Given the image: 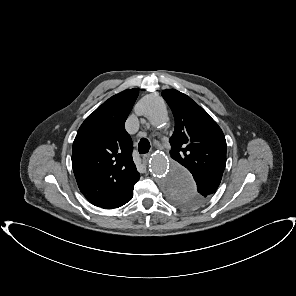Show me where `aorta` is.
Instances as JSON below:
<instances>
[{
  "instance_id": "762f6f07",
  "label": "aorta",
  "mask_w": 296,
  "mask_h": 296,
  "mask_svg": "<svg viewBox=\"0 0 296 296\" xmlns=\"http://www.w3.org/2000/svg\"><path fill=\"white\" fill-rule=\"evenodd\" d=\"M137 111L155 127H163L169 120L163 99L155 95L144 96L137 104ZM150 170L171 203L184 205L192 199L195 190L192 175L174 158L154 154Z\"/></svg>"
}]
</instances>
